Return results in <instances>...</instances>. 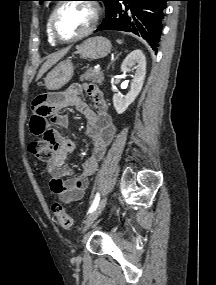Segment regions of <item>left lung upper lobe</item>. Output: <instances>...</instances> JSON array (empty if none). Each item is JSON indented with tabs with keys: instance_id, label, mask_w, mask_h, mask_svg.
<instances>
[{
	"instance_id": "1",
	"label": "left lung upper lobe",
	"mask_w": 216,
	"mask_h": 285,
	"mask_svg": "<svg viewBox=\"0 0 216 285\" xmlns=\"http://www.w3.org/2000/svg\"><path fill=\"white\" fill-rule=\"evenodd\" d=\"M38 1H40V3H42L43 1H47V0H38ZM100 1H103V2H104L105 7H106V9H107V8L109 7V5H110V3H111L112 0H100Z\"/></svg>"
}]
</instances>
